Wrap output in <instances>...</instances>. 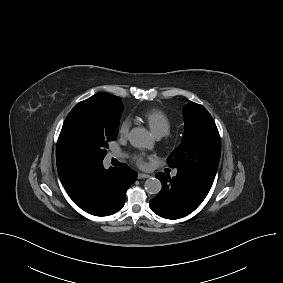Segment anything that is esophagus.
<instances>
[{
    "instance_id": "obj_1",
    "label": "esophagus",
    "mask_w": 283,
    "mask_h": 283,
    "mask_svg": "<svg viewBox=\"0 0 283 283\" xmlns=\"http://www.w3.org/2000/svg\"><path fill=\"white\" fill-rule=\"evenodd\" d=\"M150 175L145 174V173H138V179H143V178H149Z\"/></svg>"
}]
</instances>
